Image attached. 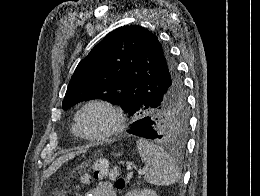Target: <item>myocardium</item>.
Wrapping results in <instances>:
<instances>
[{
    "label": "myocardium",
    "instance_id": "f54148a6",
    "mask_svg": "<svg viewBox=\"0 0 260 196\" xmlns=\"http://www.w3.org/2000/svg\"><path fill=\"white\" fill-rule=\"evenodd\" d=\"M92 105H103L107 107L109 110H111V112L115 117V123L109 130L95 136L84 134L79 127V120L82 113ZM124 126H125V116L122 109L118 105L114 104L113 102L105 98H94L92 100L87 101L85 104H83L77 110L74 117V123H73V129L78 135V137L92 143H100L110 139L111 137L119 133L124 128Z\"/></svg>",
    "mask_w": 260,
    "mask_h": 196
}]
</instances>
